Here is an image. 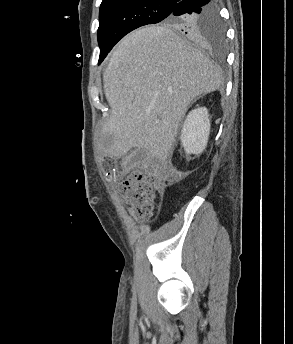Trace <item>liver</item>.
<instances>
[{
	"instance_id": "liver-1",
	"label": "liver",
	"mask_w": 293,
	"mask_h": 344,
	"mask_svg": "<svg viewBox=\"0 0 293 344\" xmlns=\"http://www.w3.org/2000/svg\"><path fill=\"white\" fill-rule=\"evenodd\" d=\"M111 108L102 148L121 157L145 148L165 162L190 104L222 85L219 69L166 26H148L123 38L103 74Z\"/></svg>"
}]
</instances>
